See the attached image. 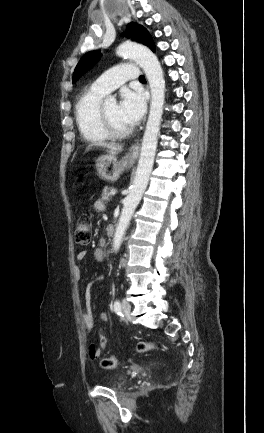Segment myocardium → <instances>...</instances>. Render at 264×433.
<instances>
[{
    "label": "myocardium",
    "instance_id": "myocardium-1",
    "mask_svg": "<svg viewBox=\"0 0 264 433\" xmlns=\"http://www.w3.org/2000/svg\"><path fill=\"white\" fill-rule=\"evenodd\" d=\"M99 115L102 126L106 133L109 135V137L122 139L128 137L133 132V129L131 127L125 130H121L115 127L105 110V105L100 106Z\"/></svg>",
    "mask_w": 264,
    "mask_h": 433
}]
</instances>
